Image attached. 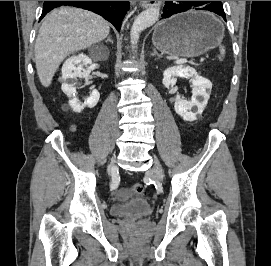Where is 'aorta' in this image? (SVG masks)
<instances>
[{
	"label": "aorta",
	"mask_w": 271,
	"mask_h": 266,
	"mask_svg": "<svg viewBox=\"0 0 271 266\" xmlns=\"http://www.w3.org/2000/svg\"><path fill=\"white\" fill-rule=\"evenodd\" d=\"M159 16L160 10L156 7L148 8L137 16L130 33L131 44L133 46L137 44L140 33L152 26L158 20Z\"/></svg>",
	"instance_id": "1"
}]
</instances>
